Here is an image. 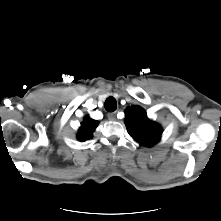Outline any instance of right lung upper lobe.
<instances>
[{"label": "right lung upper lobe", "instance_id": "right-lung-upper-lobe-1", "mask_svg": "<svg viewBox=\"0 0 221 221\" xmlns=\"http://www.w3.org/2000/svg\"><path fill=\"white\" fill-rule=\"evenodd\" d=\"M97 125L98 121H95L86 116L79 129V133L77 135L78 140L85 141L92 138L93 132L96 129Z\"/></svg>", "mask_w": 221, "mask_h": 221}]
</instances>
